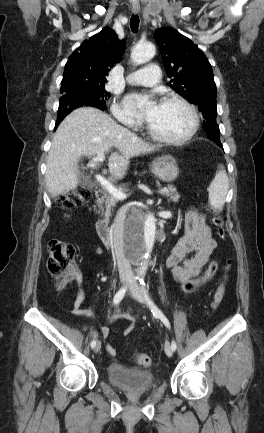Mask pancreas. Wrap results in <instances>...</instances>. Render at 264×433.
<instances>
[{"instance_id":"1","label":"pancreas","mask_w":264,"mask_h":433,"mask_svg":"<svg viewBox=\"0 0 264 433\" xmlns=\"http://www.w3.org/2000/svg\"><path fill=\"white\" fill-rule=\"evenodd\" d=\"M164 196L170 198L174 202H178L180 198V195L178 194L176 188L171 185L169 186V192L165 193ZM116 203L117 199H115L113 195L109 194L105 199L104 205L102 206V215L109 219V217L111 216V211L113 207H115Z\"/></svg>"}]
</instances>
